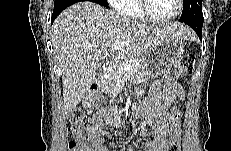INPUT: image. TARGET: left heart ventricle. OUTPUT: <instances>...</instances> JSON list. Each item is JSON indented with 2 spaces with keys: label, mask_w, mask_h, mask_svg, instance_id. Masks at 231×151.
I'll return each mask as SVG.
<instances>
[{
  "label": "left heart ventricle",
  "mask_w": 231,
  "mask_h": 151,
  "mask_svg": "<svg viewBox=\"0 0 231 151\" xmlns=\"http://www.w3.org/2000/svg\"><path fill=\"white\" fill-rule=\"evenodd\" d=\"M148 9L156 18H168L176 12V0H148Z\"/></svg>",
  "instance_id": "obj_1"
}]
</instances>
